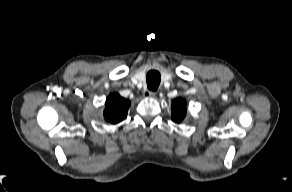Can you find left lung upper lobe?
I'll return each instance as SVG.
<instances>
[{
    "mask_svg": "<svg viewBox=\"0 0 292 192\" xmlns=\"http://www.w3.org/2000/svg\"><path fill=\"white\" fill-rule=\"evenodd\" d=\"M185 100L182 98H177L172 103V115L171 118L174 122H181L186 116Z\"/></svg>",
    "mask_w": 292,
    "mask_h": 192,
    "instance_id": "obj_1",
    "label": "left lung upper lobe"
}]
</instances>
